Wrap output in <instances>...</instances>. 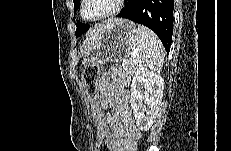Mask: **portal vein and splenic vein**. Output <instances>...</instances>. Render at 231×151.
I'll return each mask as SVG.
<instances>
[{
	"instance_id": "18ae733b",
	"label": "portal vein and splenic vein",
	"mask_w": 231,
	"mask_h": 151,
	"mask_svg": "<svg viewBox=\"0 0 231 151\" xmlns=\"http://www.w3.org/2000/svg\"><path fill=\"white\" fill-rule=\"evenodd\" d=\"M135 56H136L135 53L131 54V61L135 58Z\"/></svg>"
}]
</instances>
